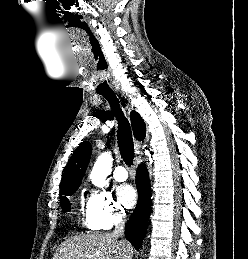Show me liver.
<instances>
[{
  "label": "liver",
  "instance_id": "obj_1",
  "mask_svg": "<svg viewBox=\"0 0 248 259\" xmlns=\"http://www.w3.org/2000/svg\"><path fill=\"white\" fill-rule=\"evenodd\" d=\"M133 249L113 234L75 236L61 243L52 259H131Z\"/></svg>",
  "mask_w": 248,
  "mask_h": 259
}]
</instances>
